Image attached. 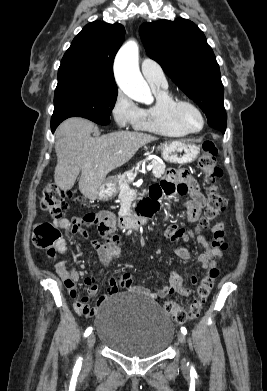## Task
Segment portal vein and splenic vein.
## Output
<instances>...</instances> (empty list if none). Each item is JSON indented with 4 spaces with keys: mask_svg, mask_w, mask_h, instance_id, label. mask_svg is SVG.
<instances>
[{
    "mask_svg": "<svg viewBox=\"0 0 267 391\" xmlns=\"http://www.w3.org/2000/svg\"><path fill=\"white\" fill-rule=\"evenodd\" d=\"M152 168H153L152 165L147 166V171H150ZM127 177H128L129 180H134L135 175L133 173H128Z\"/></svg>",
    "mask_w": 267,
    "mask_h": 391,
    "instance_id": "obj_1",
    "label": "portal vein and splenic vein"
}]
</instances>
